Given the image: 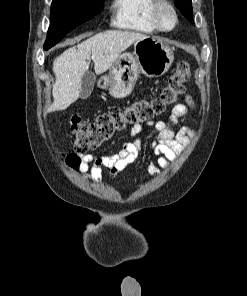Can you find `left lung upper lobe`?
Returning <instances> with one entry per match:
<instances>
[{
  "instance_id": "obj_1",
  "label": "left lung upper lobe",
  "mask_w": 247,
  "mask_h": 296,
  "mask_svg": "<svg viewBox=\"0 0 247 296\" xmlns=\"http://www.w3.org/2000/svg\"><path fill=\"white\" fill-rule=\"evenodd\" d=\"M175 3L183 15L193 22L191 0H175Z\"/></svg>"
}]
</instances>
